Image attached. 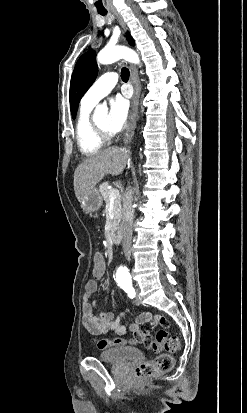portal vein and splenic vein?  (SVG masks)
<instances>
[{
    "instance_id": "1",
    "label": "portal vein and splenic vein",
    "mask_w": 247,
    "mask_h": 413,
    "mask_svg": "<svg viewBox=\"0 0 247 413\" xmlns=\"http://www.w3.org/2000/svg\"><path fill=\"white\" fill-rule=\"evenodd\" d=\"M109 196H111V198H117V196H119L118 188H110Z\"/></svg>"
}]
</instances>
